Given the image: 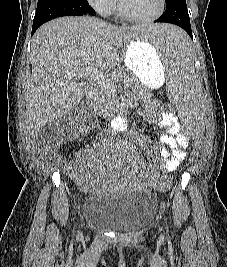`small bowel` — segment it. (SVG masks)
<instances>
[{"mask_svg": "<svg viewBox=\"0 0 227 267\" xmlns=\"http://www.w3.org/2000/svg\"><path fill=\"white\" fill-rule=\"evenodd\" d=\"M145 118L148 122L164 129L166 133L162 134L157 141L153 138H138L137 142L153 153L164 171L172 169L173 172V169L178 166L177 162L181 155H186L185 149L190 143L189 137H184L177 115L162 110L161 103L156 99L146 102ZM129 126L130 119L126 116L115 117L111 122V129L115 134H124ZM94 164L87 168L82 161L76 159L70 162L62 161L61 168L79 185L85 186L91 179L90 171Z\"/></svg>", "mask_w": 227, "mask_h": 267, "instance_id": "small-bowel-1", "label": "small bowel"}]
</instances>
